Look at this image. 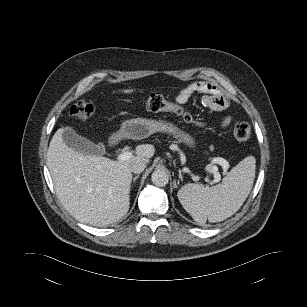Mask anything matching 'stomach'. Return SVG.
Here are the masks:
<instances>
[{"mask_svg":"<svg viewBox=\"0 0 307 307\" xmlns=\"http://www.w3.org/2000/svg\"><path fill=\"white\" fill-rule=\"evenodd\" d=\"M155 132H165L174 135L179 142L184 143L190 148L196 147L195 140L187 133L179 130L172 123L146 118H135L126 120L121 125L118 132L119 136L131 139H143Z\"/></svg>","mask_w":307,"mask_h":307,"instance_id":"1","label":"stomach"}]
</instances>
